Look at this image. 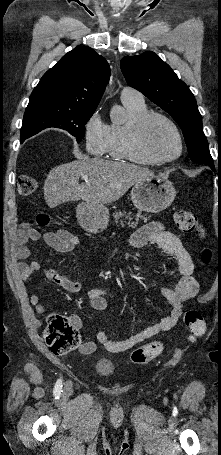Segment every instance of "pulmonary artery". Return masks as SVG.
Masks as SVG:
<instances>
[{"instance_id":"e3ab8cb5","label":"pulmonary artery","mask_w":221,"mask_h":455,"mask_svg":"<svg viewBox=\"0 0 221 455\" xmlns=\"http://www.w3.org/2000/svg\"><path fill=\"white\" fill-rule=\"evenodd\" d=\"M120 97L123 103L144 104L143 95L135 88L129 86L121 90Z\"/></svg>"}]
</instances>
